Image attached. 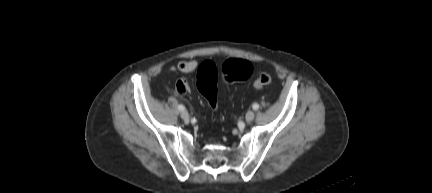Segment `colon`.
Listing matches in <instances>:
<instances>
[{
  "label": "colon",
  "instance_id": "5ec220e1",
  "mask_svg": "<svg viewBox=\"0 0 432 193\" xmlns=\"http://www.w3.org/2000/svg\"><path fill=\"white\" fill-rule=\"evenodd\" d=\"M251 74L252 65L248 61L241 59H229L221 69V76L226 81L245 80ZM217 78L218 72L213 62L205 61L200 65L197 74V87L213 109L217 105ZM271 82L272 77L270 74L261 73L255 78L254 87L264 88L269 86Z\"/></svg>",
  "mask_w": 432,
  "mask_h": 193
}]
</instances>
